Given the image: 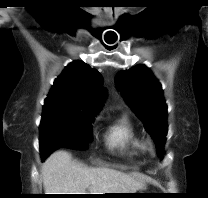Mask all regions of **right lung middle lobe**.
<instances>
[{"label": "right lung middle lobe", "instance_id": "obj_1", "mask_svg": "<svg viewBox=\"0 0 208 198\" xmlns=\"http://www.w3.org/2000/svg\"><path fill=\"white\" fill-rule=\"evenodd\" d=\"M93 119V115L71 111L43 112L39 127L42 161L59 148L88 149Z\"/></svg>", "mask_w": 208, "mask_h": 198}]
</instances>
